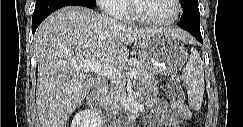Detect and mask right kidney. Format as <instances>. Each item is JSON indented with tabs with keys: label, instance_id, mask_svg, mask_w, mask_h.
Masks as SVG:
<instances>
[{
	"label": "right kidney",
	"instance_id": "ca27d5eb",
	"mask_svg": "<svg viewBox=\"0 0 243 127\" xmlns=\"http://www.w3.org/2000/svg\"><path fill=\"white\" fill-rule=\"evenodd\" d=\"M101 123V117L98 113L83 110L74 116L71 127H101Z\"/></svg>",
	"mask_w": 243,
	"mask_h": 127
}]
</instances>
